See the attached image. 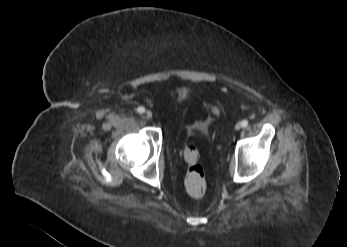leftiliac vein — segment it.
<instances>
[{
    "instance_id": "1",
    "label": "left iliac vein",
    "mask_w": 347,
    "mask_h": 247,
    "mask_svg": "<svg viewBox=\"0 0 347 247\" xmlns=\"http://www.w3.org/2000/svg\"><path fill=\"white\" fill-rule=\"evenodd\" d=\"M241 127H242V125H241L240 123H237V124L235 125V130H240Z\"/></svg>"
}]
</instances>
